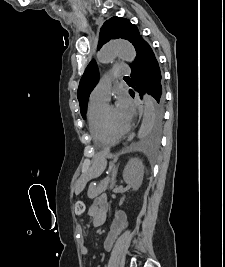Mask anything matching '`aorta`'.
I'll list each match as a JSON object with an SVG mask.
<instances>
[{
	"mask_svg": "<svg viewBox=\"0 0 225 267\" xmlns=\"http://www.w3.org/2000/svg\"><path fill=\"white\" fill-rule=\"evenodd\" d=\"M126 62H133L136 57V50L134 46L128 41H117L104 45L98 53V61L102 64L111 62L115 57ZM154 101L153 98L145 94L143 97V118L140 129L138 131V138L145 137L153 121Z\"/></svg>",
	"mask_w": 225,
	"mask_h": 267,
	"instance_id": "762f6f07",
	"label": "aorta"
}]
</instances>
